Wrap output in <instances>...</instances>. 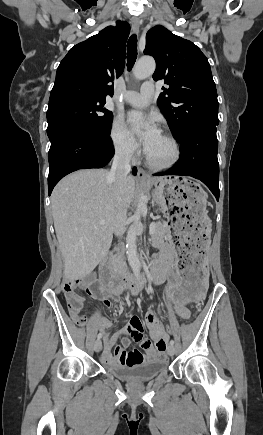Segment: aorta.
I'll return each instance as SVG.
<instances>
[{
    "label": "aorta",
    "instance_id": "obj_1",
    "mask_svg": "<svg viewBox=\"0 0 263 435\" xmlns=\"http://www.w3.org/2000/svg\"><path fill=\"white\" fill-rule=\"evenodd\" d=\"M155 67V60L152 57H142L134 67V77L138 80L146 79L154 73ZM145 199L146 197L141 195L137 205V210L133 216V224L130 226L126 236V253L128 261L135 273H138L141 267V263L137 255L136 239L138 228L141 224V214L146 209Z\"/></svg>",
    "mask_w": 263,
    "mask_h": 435
}]
</instances>
